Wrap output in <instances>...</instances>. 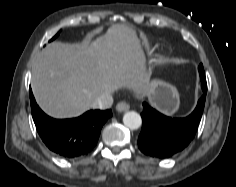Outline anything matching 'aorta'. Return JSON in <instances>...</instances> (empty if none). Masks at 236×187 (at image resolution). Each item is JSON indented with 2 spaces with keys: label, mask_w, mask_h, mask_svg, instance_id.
Masks as SVG:
<instances>
[{
  "label": "aorta",
  "mask_w": 236,
  "mask_h": 187,
  "mask_svg": "<svg viewBox=\"0 0 236 187\" xmlns=\"http://www.w3.org/2000/svg\"><path fill=\"white\" fill-rule=\"evenodd\" d=\"M123 123L127 128L135 130L141 126L142 119L137 112L129 111L124 114Z\"/></svg>",
  "instance_id": "obj_1"
}]
</instances>
